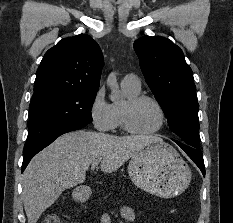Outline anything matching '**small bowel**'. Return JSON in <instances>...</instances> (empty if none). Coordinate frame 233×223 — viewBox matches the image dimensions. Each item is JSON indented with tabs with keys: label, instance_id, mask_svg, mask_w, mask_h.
<instances>
[{
	"label": "small bowel",
	"instance_id": "1",
	"mask_svg": "<svg viewBox=\"0 0 233 223\" xmlns=\"http://www.w3.org/2000/svg\"><path fill=\"white\" fill-rule=\"evenodd\" d=\"M120 216L126 223H133L135 221V213L129 206H123L121 208ZM103 223H109V218L104 217Z\"/></svg>",
	"mask_w": 233,
	"mask_h": 223
}]
</instances>
